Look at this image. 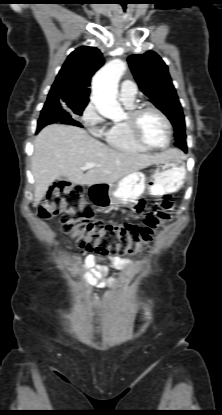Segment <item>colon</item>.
<instances>
[{
	"label": "colon",
	"mask_w": 222,
	"mask_h": 415,
	"mask_svg": "<svg viewBox=\"0 0 222 415\" xmlns=\"http://www.w3.org/2000/svg\"><path fill=\"white\" fill-rule=\"evenodd\" d=\"M171 203L148 213L141 224L113 225L92 219V210L83 202V188L59 181L49 190L39 214L43 219L61 216L62 230L72 234L80 248L99 255H132L140 252L155 232L171 218Z\"/></svg>",
	"instance_id": "colon-1"
}]
</instances>
